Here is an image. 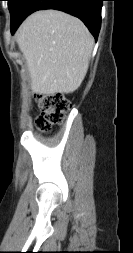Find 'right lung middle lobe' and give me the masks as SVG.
<instances>
[{"label": "right lung middle lobe", "instance_id": "1", "mask_svg": "<svg viewBox=\"0 0 133 253\" xmlns=\"http://www.w3.org/2000/svg\"><path fill=\"white\" fill-rule=\"evenodd\" d=\"M11 15V27L18 21L20 16V8L25 0H7Z\"/></svg>", "mask_w": 133, "mask_h": 253}]
</instances>
